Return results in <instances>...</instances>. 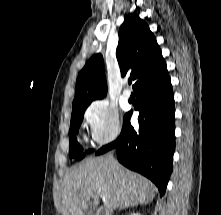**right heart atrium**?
Here are the masks:
<instances>
[{
    "label": "right heart atrium",
    "mask_w": 221,
    "mask_h": 215,
    "mask_svg": "<svg viewBox=\"0 0 221 215\" xmlns=\"http://www.w3.org/2000/svg\"><path fill=\"white\" fill-rule=\"evenodd\" d=\"M84 121L91 138L99 145L114 140L121 130L118 111L106 99L92 102L84 113Z\"/></svg>",
    "instance_id": "right-heart-atrium-1"
}]
</instances>
